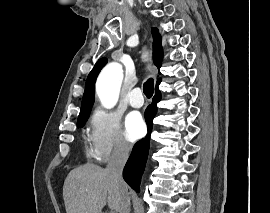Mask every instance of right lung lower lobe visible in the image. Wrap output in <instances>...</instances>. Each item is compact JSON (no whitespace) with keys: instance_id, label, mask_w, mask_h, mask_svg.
Returning a JSON list of instances; mask_svg holds the SVG:
<instances>
[{"instance_id":"obj_1","label":"right lung lower lobe","mask_w":270,"mask_h":213,"mask_svg":"<svg viewBox=\"0 0 270 213\" xmlns=\"http://www.w3.org/2000/svg\"><path fill=\"white\" fill-rule=\"evenodd\" d=\"M159 84L155 88V96L153 97L152 104L145 111L148 134L136 143L123 171L124 180L137 192H139L141 176L147 161L152 121L157 112V103L161 100V93L158 89Z\"/></svg>"}]
</instances>
